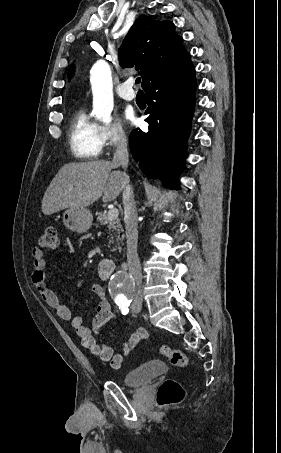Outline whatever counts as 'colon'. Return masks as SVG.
<instances>
[{"label": "colon", "mask_w": 281, "mask_h": 453, "mask_svg": "<svg viewBox=\"0 0 281 453\" xmlns=\"http://www.w3.org/2000/svg\"><path fill=\"white\" fill-rule=\"evenodd\" d=\"M59 226H47L44 233L39 238L38 245H41L43 250L54 249L56 240L59 234ZM162 353L165 358L173 365L179 368H189L188 356L181 350L172 348H164ZM186 393L177 380L170 376L157 389L156 404L160 410L167 409L174 404L184 401Z\"/></svg>", "instance_id": "colon-1"}]
</instances>
